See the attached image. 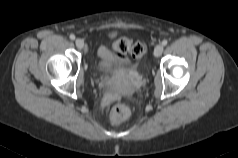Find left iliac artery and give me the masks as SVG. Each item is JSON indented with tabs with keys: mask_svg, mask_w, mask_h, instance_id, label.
<instances>
[{
	"mask_svg": "<svg viewBox=\"0 0 238 158\" xmlns=\"http://www.w3.org/2000/svg\"><path fill=\"white\" fill-rule=\"evenodd\" d=\"M168 44V41L166 40V39H164L163 41H162V45L163 46H166Z\"/></svg>",
	"mask_w": 238,
	"mask_h": 158,
	"instance_id": "1",
	"label": "left iliac artery"
}]
</instances>
